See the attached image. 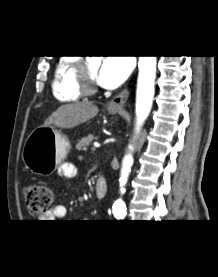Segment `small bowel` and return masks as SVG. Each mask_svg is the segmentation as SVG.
Segmentation results:
<instances>
[{
    "label": "small bowel",
    "instance_id": "small-bowel-1",
    "mask_svg": "<svg viewBox=\"0 0 218 277\" xmlns=\"http://www.w3.org/2000/svg\"><path fill=\"white\" fill-rule=\"evenodd\" d=\"M59 174L65 178H73L77 175V169L74 165L64 163L59 168ZM66 216V207L62 204H57L53 209L43 218L46 222L64 218Z\"/></svg>",
    "mask_w": 218,
    "mask_h": 277
}]
</instances>
